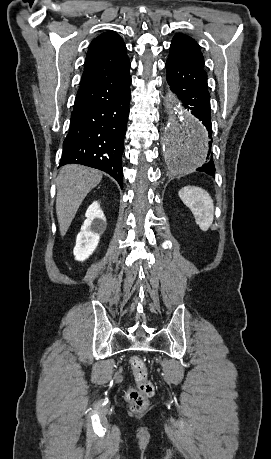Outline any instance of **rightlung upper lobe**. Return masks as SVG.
I'll return each mask as SVG.
<instances>
[{"label":"right lung upper lobe","mask_w":271,"mask_h":459,"mask_svg":"<svg viewBox=\"0 0 271 459\" xmlns=\"http://www.w3.org/2000/svg\"><path fill=\"white\" fill-rule=\"evenodd\" d=\"M129 68L130 61L122 38L111 31L103 33L89 46L78 93L128 73Z\"/></svg>","instance_id":"right-lung-upper-lobe-1"}]
</instances>
